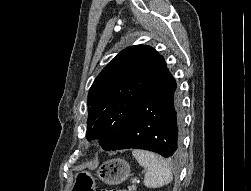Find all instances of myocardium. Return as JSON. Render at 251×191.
<instances>
[{
    "instance_id": "1",
    "label": "myocardium",
    "mask_w": 251,
    "mask_h": 191,
    "mask_svg": "<svg viewBox=\"0 0 251 191\" xmlns=\"http://www.w3.org/2000/svg\"><path fill=\"white\" fill-rule=\"evenodd\" d=\"M86 138H87L88 140H93V139H94V137H93V136H91V135L86 136Z\"/></svg>"
}]
</instances>
